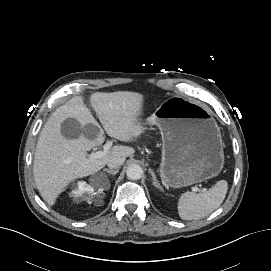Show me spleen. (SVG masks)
Returning <instances> with one entry per match:
<instances>
[{
  "label": "spleen",
  "mask_w": 271,
  "mask_h": 271,
  "mask_svg": "<svg viewBox=\"0 0 271 271\" xmlns=\"http://www.w3.org/2000/svg\"><path fill=\"white\" fill-rule=\"evenodd\" d=\"M228 183L218 181L206 192H185L178 200V214L183 220H197L208 216L220 207L225 199Z\"/></svg>",
  "instance_id": "1"
}]
</instances>
